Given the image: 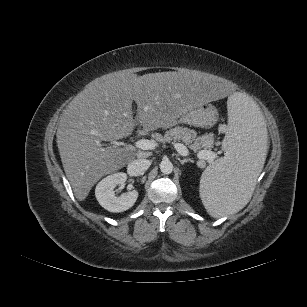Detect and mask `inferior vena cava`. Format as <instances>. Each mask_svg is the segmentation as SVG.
<instances>
[{
  "label": "inferior vena cava",
  "instance_id": "inferior-vena-cava-1",
  "mask_svg": "<svg viewBox=\"0 0 307 307\" xmlns=\"http://www.w3.org/2000/svg\"><path fill=\"white\" fill-rule=\"evenodd\" d=\"M150 161L146 159H136L127 166V172L131 176L143 175L150 166Z\"/></svg>",
  "mask_w": 307,
  "mask_h": 307
}]
</instances>
